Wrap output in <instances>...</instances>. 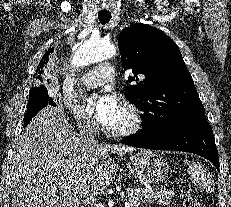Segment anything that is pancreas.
Listing matches in <instances>:
<instances>
[{
	"instance_id": "obj_1",
	"label": "pancreas",
	"mask_w": 231,
	"mask_h": 207,
	"mask_svg": "<svg viewBox=\"0 0 231 207\" xmlns=\"http://www.w3.org/2000/svg\"><path fill=\"white\" fill-rule=\"evenodd\" d=\"M175 193L172 190L161 188L146 189L142 187H129L125 191V197L132 207L146 203L148 205L156 203L158 205H168L171 203Z\"/></svg>"
}]
</instances>
